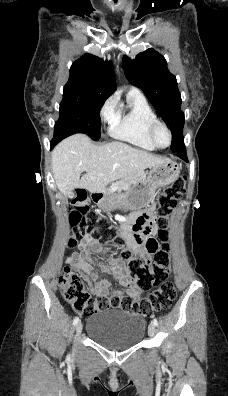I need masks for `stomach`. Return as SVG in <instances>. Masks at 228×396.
<instances>
[{"mask_svg": "<svg viewBox=\"0 0 228 396\" xmlns=\"http://www.w3.org/2000/svg\"><path fill=\"white\" fill-rule=\"evenodd\" d=\"M143 173V172H141ZM180 168L172 161L153 166L145 175V180L131 187L126 192L111 194L109 191L94 194L97 205L107 211L124 207L138 210L147 207L153 200L156 190L173 183L179 176Z\"/></svg>", "mask_w": 228, "mask_h": 396, "instance_id": "1", "label": "stomach"}]
</instances>
